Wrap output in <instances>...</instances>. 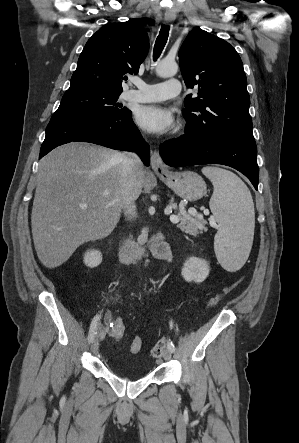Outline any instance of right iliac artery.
<instances>
[{
	"mask_svg": "<svg viewBox=\"0 0 299 443\" xmlns=\"http://www.w3.org/2000/svg\"><path fill=\"white\" fill-rule=\"evenodd\" d=\"M101 315H96L90 325V330H89V334H88V342L92 343L96 334H97V325H98V321L100 320Z\"/></svg>",
	"mask_w": 299,
	"mask_h": 443,
	"instance_id": "82829eb1",
	"label": "right iliac artery"
}]
</instances>
